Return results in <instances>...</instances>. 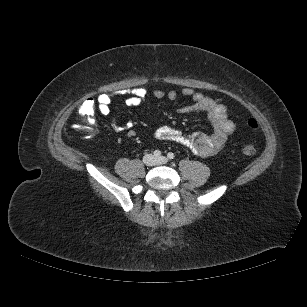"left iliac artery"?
<instances>
[{"mask_svg":"<svg viewBox=\"0 0 307 307\" xmlns=\"http://www.w3.org/2000/svg\"><path fill=\"white\" fill-rule=\"evenodd\" d=\"M167 157H168V159L173 160V159L175 158V155H174V153L169 152V153L167 154Z\"/></svg>","mask_w":307,"mask_h":307,"instance_id":"obj_1","label":"left iliac artery"}]
</instances>
